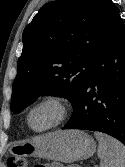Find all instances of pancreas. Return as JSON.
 Returning <instances> with one entry per match:
<instances>
[{
  "label": "pancreas",
  "instance_id": "1",
  "mask_svg": "<svg viewBox=\"0 0 125 167\" xmlns=\"http://www.w3.org/2000/svg\"><path fill=\"white\" fill-rule=\"evenodd\" d=\"M66 167H80V166H78V165H68Z\"/></svg>",
  "mask_w": 125,
  "mask_h": 167
}]
</instances>
